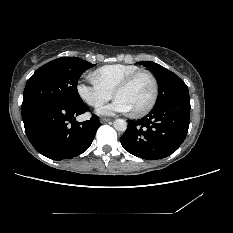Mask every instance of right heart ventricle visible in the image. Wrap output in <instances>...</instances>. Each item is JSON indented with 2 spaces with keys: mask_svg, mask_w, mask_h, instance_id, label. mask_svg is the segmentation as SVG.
I'll return each mask as SVG.
<instances>
[{
  "mask_svg": "<svg viewBox=\"0 0 233 233\" xmlns=\"http://www.w3.org/2000/svg\"><path fill=\"white\" fill-rule=\"evenodd\" d=\"M139 70L140 68L135 65L111 64L100 67L90 77L94 82L113 92L124 78Z\"/></svg>",
  "mask_w": 233,
  "mask_h": 233,
  "instance_id": "obj_1",
  "label": "right heart ventricle"
}]
</instances>
